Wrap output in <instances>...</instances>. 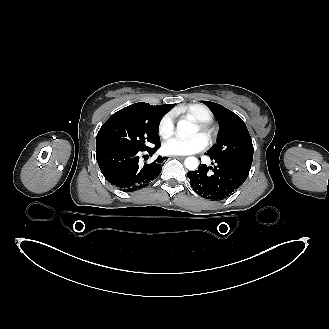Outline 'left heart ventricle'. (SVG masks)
Returning <instances> with one entry per match:
<instances>
[{"instance_id": "1", "label": "left heart ventricle", "mask_w": 329, "mask_h": 329, "mask_svg": "<svg viewBox=\"0 0 329 329\" xmlns=\"http://www.w3.org/2000/svg\"><path fill=\"white\" fill-rule=\"evenodd\" d=\"M199 133H200V132H199V129H198V127L196 126V127L194 128L192 134L195 135V134H199Z\"/></svg>"}]
</instances>
